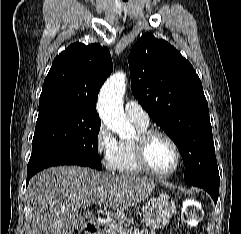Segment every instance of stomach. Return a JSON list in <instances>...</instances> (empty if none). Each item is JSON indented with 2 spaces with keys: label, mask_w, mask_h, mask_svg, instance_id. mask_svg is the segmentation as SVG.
Returning <instances> with one entry per match:
<instances>
[{
  "label": "stomach",
  "mask_w": 241,
  "mask_h": 234,
  "mask_svg": "<svg viewBox=\"0 0 241 234\" xmlns=\"http://www.w3.org/2000/svg\"><path fill=\"white\" fill-rule=\"evenodd\" d=\"M174 211V206L162 195L151 197L143 207L144 220L150 229L166 226Z\"/></svg>",
  "instance_id": "obj_1"
}]
</instances>
